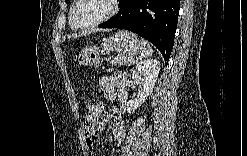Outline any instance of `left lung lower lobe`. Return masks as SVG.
Wrapping results in <instances>:
<instances>
[{"label":"left lung lower lobe","instance_id":"1","mask_svg":"<svg viewBox=\"0 0 247 156\" xmlns=\"http://www.w3.org/2000/svg\"><path fill=\"white\" fill-rule=\"evenodd\" d=\"M115 17L99 25L132 31L154 44L165 63L174 44L180 0H120Z\"/></svg>","mask_w":247,"mask_h":156}]
</instances>
